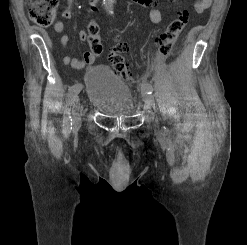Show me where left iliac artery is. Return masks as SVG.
I'll use <instances>...</instances> for the list:
<instances>
[{
    "mask_svg": "<svg viewBox=\"0 0 247 245\" xmlns=\"http://www.w3.org/2000/svg\"><path fill=\"white\" fill-rule=\"evenodd\" d=\"M141 86L145 90L146 93L152 94L153 88H152V85L149 82L143 81Z\"/></svg>",
    "mask_w": 247,
    "mask_h": 245,
    "instance_id": "1",
    "label": "left iliac artery"
}]
</instances>
